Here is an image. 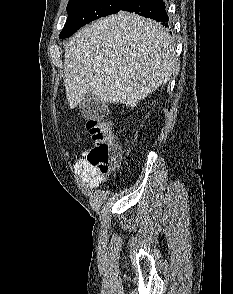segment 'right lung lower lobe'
<instances>
[{"label":"right lung lower lobe","instance_id":"98d812e1","mask_svg":"<svg viewBox=\"0 0 233 294\" xmlns=\"http://www.w3.org/2000/svg\"><path fill=\"white\" fill-rule=\"evenodd\" d=\"M121 10L154 19L168 27L169 17L162 0H127Z\"/></svg>","mask_w":233,"mask_h":294}]
</instances>
